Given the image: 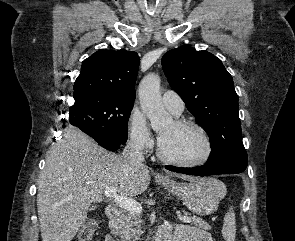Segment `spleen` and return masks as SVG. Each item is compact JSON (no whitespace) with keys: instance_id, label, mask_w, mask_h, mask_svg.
Listing matches in <instances>:
<instances>
[{"instance_id":"1","label":"spleen","mask_w":295,"mask_h":241,"mask_svg":"<svg viewBox=\"0 0 295 241\" xmlns=\"http://www.w3.org/2000/svg\"><path fill=\"white\" fill-rule=\"evenodd\" d=\"M222 235L225 241H235L236 236V219L233 208L225 214Z\"/></svg>"}]
</instances>
